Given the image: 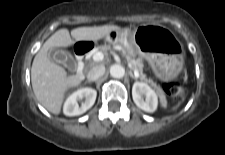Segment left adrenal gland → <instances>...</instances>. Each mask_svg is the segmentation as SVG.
Instances as JSON below:
<instances>
[{
    "label": "left adrenal gland",
    "instance_id": "left-adrenal-gland-1",
    "mask_svg": "<svg viewBox=\"0 0 225 155\" xmlns=\"http://www.w3.org/2000/svg\"><path fill=\"white\" fill-rule=\"evenodd\" d=\"M129 74H130V77H131V78H133L134 80H136V81H137V77H136V76H134V75H133V73H132L131 71L129 72Z\"/></svg>",
    "mask_w": 225,
    "mask_h": 155
}]
</instances>
